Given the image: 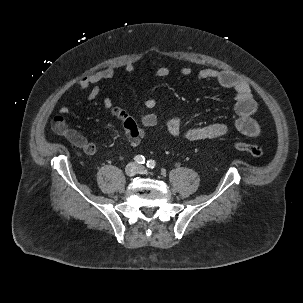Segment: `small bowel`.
<instances>
[{
	"instance_id": "1",
	"label": "small bowel",
	"mask_w": 303,
	"mask_h": 303,
	"mask_svg": "<svg viewBox=\"0 0 303 303\" xmlns=\"http://www.w3.org/2000/svg\"><path fill=\"white\" fill-rule=\"evenodd\" d=\"M124 69L127 73H133L136 65L128 62ZM168 67H160L153 72L155 77L161 78L169 75ZM192 73L190 67H183L180 75L189 76ZM115 75L113 67H107L93 74L84 76L77 81V91L89 89L88 99L94 100L98 97L101 84L105 80L112 79ZM197 79L200 81H214L221 87L229 89L234 93V110L236 118L233 127L242 135L248 137L257 136L260 133V126L253 118L257 110V104L253 99L251 88L247 83L240 80L233 73L228 71H219L216 69H203L198 72ZM145 106L153 109L156 106V100L153 97L145 99ZM105 109L116 119H118L124 129L125 135L132 148L137 147L144 138L146 127H155L159 124V118L154 113H145L135 119L124 109L116 106L109 97L104 99ZM69 113L68 105L64 104L59 110L52 122L53 130L65 137L72 145L83 150L87 155H94L97 151L95 143L89 141L83 134L76 129L68 127L65 116ZM167 130L173 136H181L190 141H203L215 139L228 134L230 126L225 123H212L201 126L184 127L182 118L173 116L167 121Z\"/></svg>"
}]
</instances>
